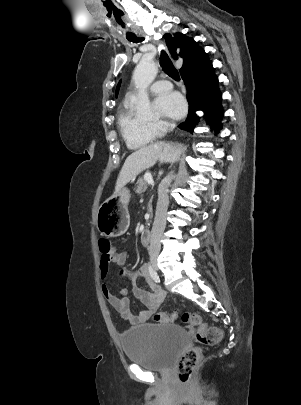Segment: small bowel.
I'll list each match as a JSON object with an SVG mask.
<instances>
[{
  "mask_svg": "<svg viewBox=\"0 0 301 405\" xmlns=\"http://www.w3.org/2000/svg\"><path fill=\"white\" fill-rule=\"evenodd\" d=\"M126 252H118L111 249L108 256L102 254L100 261V277L102 280V292L109 305L118 312L122 319L130 324H141L148 322L160 308L165 292L153 281L148 267L143 264L136 271H128L124 265L127 260ZM114 265L119 268L118 277L130 281L133 294L142 301L146 309L135 315L131 312L126 297L127 289L122 288L117 293L112 291L108 283L110 268ZM143 278L150 288V291L138 286L137 281Z\"/></svg>",
  "mask_w": 301,
  "mask_h": 405,
  "instance_id": "small-bowel-1",
  "label": "small bowel"
}]
</instances>
